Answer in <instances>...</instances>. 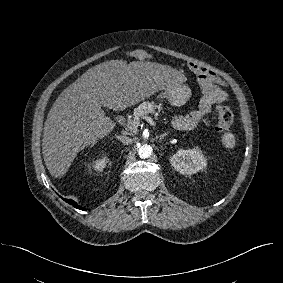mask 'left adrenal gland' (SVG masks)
<instances>
[{"label": "left adrenal gland", "instance_id": "a2214340", "mask_svg": "<svg viewBox=\"0 0 283 283\" xmlns=\"http://www.w3.org/2000/svg\"><path fill=\"white\" fill-rule=\"evenodd\" d=\"M167 135H168V132L161 134L158 138H159L160 140H162V139H163L165 136H167Z\"/></svg>", "mask_w": 283, "mask_h": 283}]
</instances>
